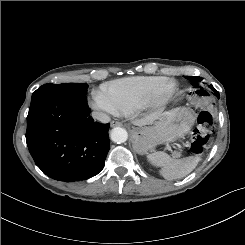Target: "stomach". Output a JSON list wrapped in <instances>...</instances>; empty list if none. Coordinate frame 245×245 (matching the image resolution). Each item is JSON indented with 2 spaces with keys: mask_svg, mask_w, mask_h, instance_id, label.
<instances>
[{
  "mask_svg": "<svg viewBox=\"0 0 245 245\" xmlns=\"http://www.w3.org/2000/svg\"><path fill=\"white\" fill-rule=\"evenodd\" d=\"M193 124L194 117L185 107L164 112L152 126L133 128V146L138 153H146L157 145L184 137L190 132Z\"/></svg>",
  "mask_w": 245,
  "mask_h": 245,
  "instance_id": "obj_1",
  "label": "stomach"
}]
</instances>
